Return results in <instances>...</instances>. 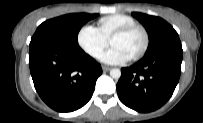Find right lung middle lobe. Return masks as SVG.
Listing matches in <instances>:
<instances>
[{
    "mask_svg": "<svg viewBox=\"0 0 203 123\" xmlns=\"http://www.w3.org/2000/svg\"><path fill=\"white\" fill-rule=\"evenodd\" d=\"M96 14L75 13L43 22L34 33L31 42H46L68 48H79L77 36L81 27Z\"/></svg>",
    "mask_w": 203,
    "mask_h": 123,
    "instance_id": "right-lung-middle-lobe-1",
    "label": "right lung middle lobe"
}]
</instances>
